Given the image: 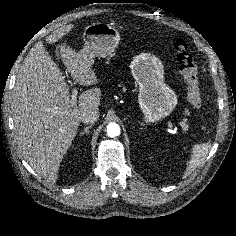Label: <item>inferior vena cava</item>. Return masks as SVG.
<instances>
[{
  "mask_svg": "<svg viewBox=\"0 0 236 236\" xmlns=\"http://www.w3.org/2000/svg\"><path fill=\"white\" fill-rule=\"evenodd\" d=\"M99 118L98 110H87L80 116V121L85 124H93Z\"/></svg>",
  "mask_w": 236,
  "mask_h": 236,
  "instance_id": "602c4592",
  "label": "inferior vena cava"
}]
</instances>
